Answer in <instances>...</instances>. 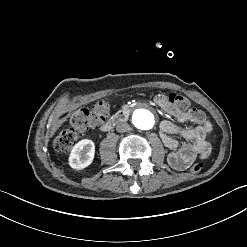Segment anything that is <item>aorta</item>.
<instances>
[{
	"label": "aorta",
	"instance_id": "obj_1",
	"mask_svg": "<svg viewBox=\"0 0 247 247\" xmlns=\"http://www.w3.org/2000/svg\"><path fill=\"white\" fill-rule=\"evenodd\" d=\"M133 120L135 125L142 130L151 129L154 125V117L147 110L136 112L133 116Z\"/></svg>",
	"mask_w": 247,
	"mask_h": 247
}]
</instances>
